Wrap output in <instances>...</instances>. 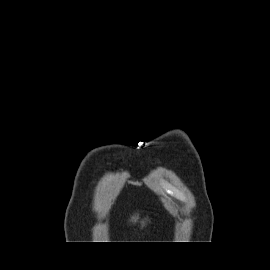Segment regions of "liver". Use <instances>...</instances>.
<instances>
[{
	"instance_id": "liver-1",
	"label": "liver",
	"mask_w": 270,
	"mask_h": 270,
	"mask_svg": "<svg viewBox=\"0 0 270 270\" xmlns=\"http://www.w3.org/2000/svg\"><path fill=\"white\" fill-rule=\"evenodd\" d=\"M136 219H137L136 217H133V218H132V220H134V221H136Z\"/></svg>"
}]
</instances>
